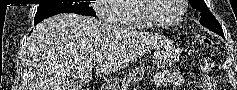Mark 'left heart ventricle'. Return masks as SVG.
Wrapping results in <instances>:
<instances>
[{
	"label": "left heart ventricle",
	"mask_w": 237,
	"mask_h": 90,
	"mask_svg": "<svg viewBox=\"0 0 237 90\" xmlns=\"http://www.w3.org/2000/svg\"><path fill=\"white\" fill-rule=\"evenodd\" d=\"M177 0H149L143 2V12L153 21L164 20L167 24L176 21L179 14Z\"/></svg>",
	"instance_id": "b2bd125f"
}]
</instances>
